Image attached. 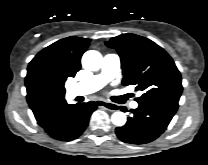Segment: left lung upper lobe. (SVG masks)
I'll use <instances>...</instances> for the list:
<instances>
[{
  "label": "left lung upper lobe",
  "mask_w": 208,
  "mask_h": 165,
  "mask_svg": "<svg viewBox=\"0 0 208 165\" xmlns=\"http://www.w3.org/2000/svg\"><path fill=\"white\" fill-rule=\"evenodd\" d=\"M118 51L123 69V85L136 86L143 94L139 104L170 100L178 102L183 87L172 58L153 41L135 34H122L106 42Z\"/></svg>",
  "instance_id": "5c2ea615"
}]
</instances>
